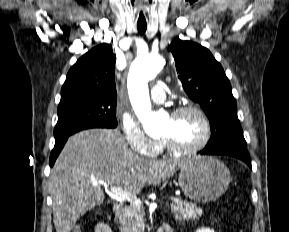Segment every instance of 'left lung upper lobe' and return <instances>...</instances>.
Wrapping results in <instances>:
<instances>
[{"instance_id":"5c2ea615","label":"left lung upper lobe","mask_w":289,"mask_h":232,"mask_svg":"<svg viewBox=\"0 0 289 232\" xmlns=\"http://www.w3.org/2000/svg\"><path fill=\"white\" fill-rule=\"evenodd\" d=\"M168 50L173 54L185 92L200 104L210 121L211 137L205 149L246 146L231 84L210 51L180 39L173 41Z\"/></svg>"}]
</instances>
